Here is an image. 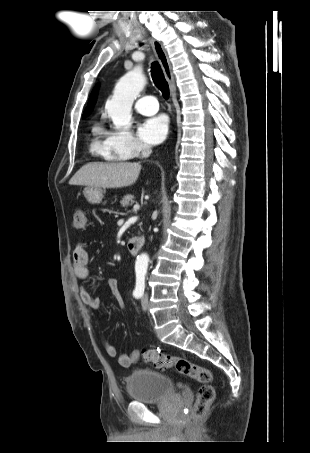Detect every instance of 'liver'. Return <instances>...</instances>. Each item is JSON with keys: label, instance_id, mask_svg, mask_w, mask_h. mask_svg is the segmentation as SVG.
Wrapping results in <instances>:
<instances>
[{"label": "liver", "instance_id": "liver-1", "mask_svg": "<svg viewBox=\"0 0 310 453\" xmlns=\"http://www.w3.org/2000/svg\"><path fill=\"white\" fill-rule=\"evenodd\" d=\"M136 162H91L82 166L70 179V185L92 188H122L133 185L140 174Z\"/></svg>", "mask_w": 310, "mask_h": 453}]
</instances>
